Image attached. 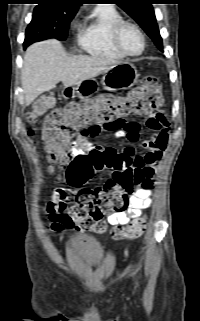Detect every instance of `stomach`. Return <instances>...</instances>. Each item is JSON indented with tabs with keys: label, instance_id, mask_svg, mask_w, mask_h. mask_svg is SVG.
Masks as SVG:
<instances>
[{
	"label": "stomach",
	"instance_id": "0dacf381",
	"mask_svg": "<svg viewBox=\"0 0 200 321\" xmlns=\"http://www.w3.org/2000/svg\"><path fill=\"white\" fill-rule=\"evenodd\" d=\"M136 67L129 62L118 63L103 72L102 85L106 90H121L132 87L138 80ZM98 90L93 79L85 80L77 85L65 87V98H86Z\"/></svg>",
	"mask_w": 200,
	"mask_h": 321
}]
</instances>
